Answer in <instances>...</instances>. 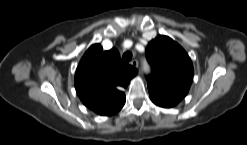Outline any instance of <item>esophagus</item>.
Listing matches in <instances>:
<instances>
[{"mask_svg":"<svg viewBox=\"0 0 247 145\" xmlns=\"http://www.w3.org/2000/svg\"><path fill=\"white\" fill-rule=\"evenodd\" d=\"M131 65L138 68V60H136V59L132 60Z\"/></svg>","mask_w":247,"mask_h":145,"instance_id":"obj_1","label":"esophagus"}]
</instances>
